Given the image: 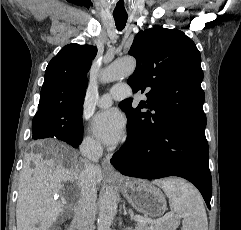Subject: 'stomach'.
Instances as JSON below:
<instances>
[{
  "mask_svg": "<svg viewBox=\"0 0 241 230\" xmlns=\"http://www.w3.org/2000/svg\"><path fill=\"white\" fill-rule=\"evenodd\" d=\"M123 196L139 212L149 217H159L167 209L162 191L145 180H124L118 183Z\"/></svg>",
  "mask_w": 241,
  "mask_h": 230,
  "instance_id": "0dacf381",
  "label": "stomach"
}]
</instances>
